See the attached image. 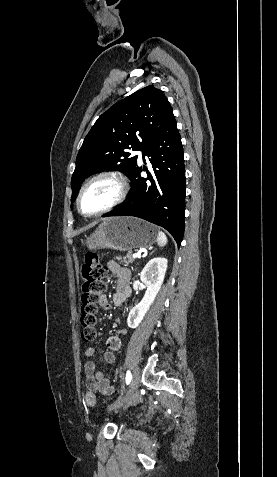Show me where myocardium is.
<instances>
[{"instance_id":"obj_1","label":"myocardium","mask_w":277,"mask_h":477,"mask_svg":"<svg viewBox=\"0 0 277 477\" xmlns=\"http://www.w3.org/2000/svg\"><path fill=\"white\" fill-rule=\"evenodd\" d=\"M105 178L111 179L117 184L118 192H117L116 197L113 199V201L111 203H109L104 208H102V209H100V210H98L94 213H90V214L84 213L82 211V208H81V199H82V196H83L84 192L86 191V189L92 183H94V182H96L100 179H105ZM128 190H129L128 182H127L126 178L121 173L116 172V171H102V172H99V173L93 175L92 177H90L88 180H86L85 183L81 186V188L78 192L77 198H76L77 210L82 216H85V217L101 216L105 213H108V212L112 211L113 209H115L119 205H121L125 201V199L128 195Z\"/></svg>"}]
</instances>
